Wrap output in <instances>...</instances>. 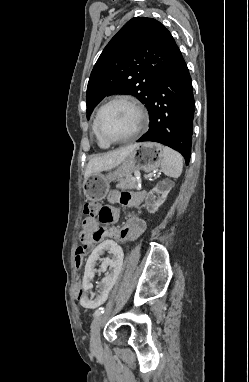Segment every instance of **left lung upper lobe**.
Here are the masks:
<instances>
[{"label":"left lung upper lobe","mask_w":249,"mask_h":382,"mask_svg":"<svg viewBox=\"0 0 249 382\" xmlns=\"http://www.w3.org/2000/svg\"><path fill=\"white\" fill-rule=\"evenodd\" d=\"M177 45L170 32L153 18L129 20L97 60L87 87V118L106 96L129 94L147 107Z\"/></svg>","instance_id":"left-lung-upper-lobe-1"}]
</instances>
